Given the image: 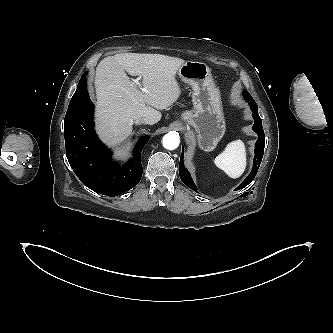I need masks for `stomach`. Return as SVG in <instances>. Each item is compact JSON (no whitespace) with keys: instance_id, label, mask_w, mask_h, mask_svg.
<instances>
[{"instance_id":"stomach-1","label":"stomach","mask_w":333,"mask_h":333,"mask_svg":"<svg viewBox=\"0 0 333 333\" xmlns=\"http://www.w3.org/2000/svg\"><path fill=\"white\" fill-rule=\"evenodd\" d=\"M180 79L193 89L194 109L185 111L181 119L197 134L199 147L212 151L225 133V119L219 89L211 69L203 62L186 61L178 69Z\"/></svg>"}]
</instances>
